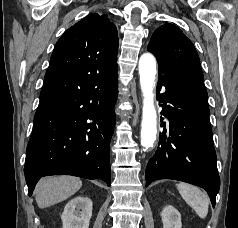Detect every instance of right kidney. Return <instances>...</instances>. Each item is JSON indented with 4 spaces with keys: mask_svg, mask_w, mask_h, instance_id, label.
Returning a JSON list of instances; mask_svg holds the SVG:
<instances>
[{
    "mask_svg": "<svg viewBox=\"0 0 238 228\" xmlns=\"http://www.w3.org/2000/svg\"><path fill=\"white\" fill-rule=\"evenodd\" d=\"M92 217V201L78 196L69 201L61 215L63 228H89Z\"/></svg>",
    "mask_w": 238,
    "mask_h": 228,
    "instance_id": "obj_1",
    "label": "right kidney"
}]
</instances>
